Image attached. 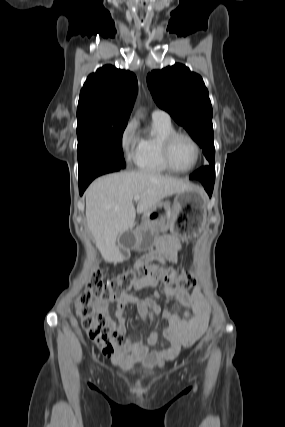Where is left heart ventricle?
Masks as SVG:
<instances>
[{
  "mask_svg": "<svg viewBox=\"0 0 285 427\" xmlns=\"http://www.w3.org/2000/svg\"><path fill=\"white\" fill-rule=\"evenodd\" d=\"M170 157L177 169H188L195 159L194 146L187 138L179 137L172 144Z\"/></svg>",
  "mask_w": 285,
  "mask_h": 427,
  "instance_id": "obj_1",
  "label": "left heart ventricle"
}]
</instances>
